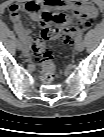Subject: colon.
I'll list each match as a JSON object with an SVG mask.
<instances>
[{"label":"colon","mask_w":104,"mask_h":137,"mask_svg":"<svg viewBox=\"0 0 104 137\" xmlns=\"http://www.w3.org/2000/svg\"><path fill=\"white\" fill-rule=\"evenodd\" d=\"M42 28L41 35L32 44L31 53L34 60L41 66L42 80L49 83L55 76V64L52 53L46 47V42L48 40H60L63 43H68L70 37L68 30L55 24L47 14H42Z\"/></svg>","instance_id":"obj_1"}]
</instances>
